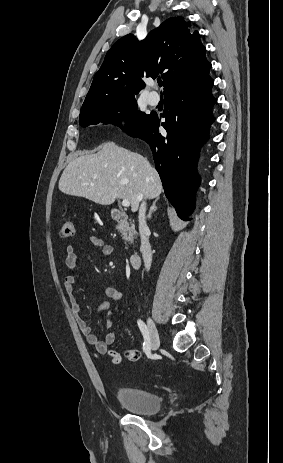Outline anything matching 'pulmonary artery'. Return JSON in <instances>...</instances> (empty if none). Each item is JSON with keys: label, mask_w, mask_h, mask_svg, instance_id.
<instances>
[{"label": "pulmonary artery", "mask_w": 283, "mask_h": 463, "mask_svg": "<svg viewBox=\"0 0 283 463\" xmlns=\"http://www.w3.org/2000/svg\"><path fill=\"white\" fill-rule=\"evenodd\" d=\"M154 87V86H152ZM160 101V96L155 92V91H152L148 94L147 96V102L151 105V106H156L158 105Z\"/></svg>", "instance_id": "e3ab8cb5"}]
</instances>
